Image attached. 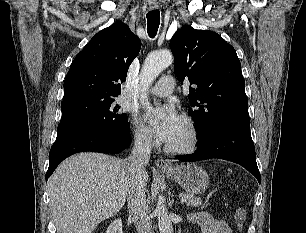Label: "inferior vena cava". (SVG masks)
Masks as SVG:
<instances>
[{
    "mask_svg": "<svg viewBox=\"0 0 306 233\" xmlns=\"http://www.w3.org/2000/svg\"><path fill=\"white\" fill-rule=\"evenodd\" d=\"M151 138L147 135L136 136L131 155L127 159L130 170V184L127 193L129 215L133 219L137 233H154L148 216L146 183L144 174L150 159Z\"/></svg>",
    "mask_w": 306,
    "mask_h": 233,
    "instance_id": "602c4592",
    "label": "inferior vena cava"
}]
</instances>
